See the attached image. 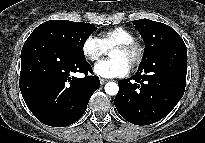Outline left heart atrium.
I'll list each match as a JSON object with an SVG mask.
<instances>
[{"label":"left heart atrium","instance_id":"39dd6f15","mask_svg":"<svg viewBox=\"0 0 205 143\" xmlns=\"http://www.w3.org/2000/svg\"><path fill=\"white\" fill-rule=\"evenodd\" d=\"M130 66L120 59H107L94 66V72L104 78L123 77L128 74Z\"/></svg>","mask_w":205,"mask_h":143}]
</instances>
